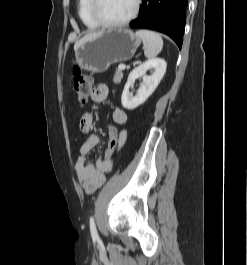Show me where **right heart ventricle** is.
I'll return each mask as SVG.
<instances>
[{"label":"right heart ventricle","mask_w":247,"mask_h":265,"mask_svg":"<svg viewBox=\"0 0 247 265\" xmlns=\"http://www.w3.org/2000/svg\"><path fill=\"white\" fill-rule=\"evenodd\" d=\"M91 0H78V14L83 24L89 29H96L99 25L94 21L90 13Z\"/></svg>","instance_id":"e07e8e85"}]
</instances>
